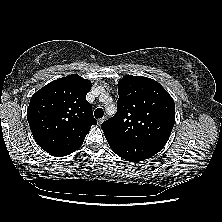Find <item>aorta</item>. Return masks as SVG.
I'll return each mask as SVG.
<instances>
[{
	"label": "aorta",
	"instance_id": "obj_1",
	"mask_svg": "<svg viewBox=\"0 0 222 222\" xmlns=\"http://www.w3.org/2000/svg\"><path fill=\"white\" fill-rule=\"evenodd\" d=\"M107 110L115 111L116 107L114 105H110L109 107H107Z\"/></svg>",
	"mask_w": 222,
	"mask_h": 222
}]
</instances>
